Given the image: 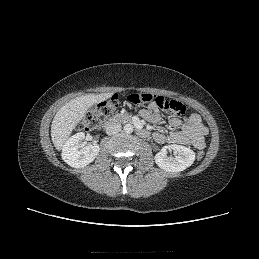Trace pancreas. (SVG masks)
<instances>
[{"instance_id": "pancreas-1", "label": "pancreas", "mask_w": 259, "mask_h": 259, "mask_svg": "<svg viewBox=\"0 0 259 259\" xmlns=\"http://www.w3.org/2000/svg\"><path fill=\"white\" fill-rule=\"evenodd\" d=\"M116 117L119 119H128L130 116L128 114H118Z\"/></svg>"}]
</instances>
